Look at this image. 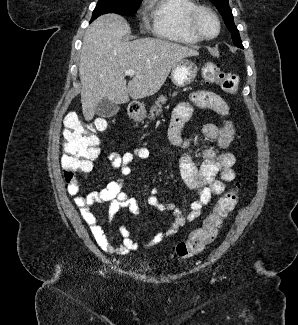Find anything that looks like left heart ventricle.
I'll list each match as a JSON object with an SVG mask.
<instances>
[{
  "mask_svg": "<svg viewBox=\"0 0 298 325\" xmlns=\"http://www.w3.org/2000/svg\"><path fill=\"white\" fill-rule=\"evenodd\" d=\"M197 27L205 37H211L215 32V26L212 19L205 13H202L198 17Z\"/></svg>",
  "mask_w": 298,
  "mask_h": 325,
  "instance_id": "left-heart-ventricle-1",
  "label": "left heart ventricle"
}]
</instances>
